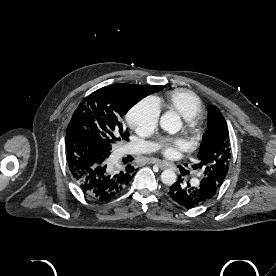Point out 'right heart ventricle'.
<instances>
[{
    "label": "right heart ventricle",
    "mask_w": 276,
    "mask_h": 276,
    "mask_svg": "<svg viewBox=\"0 0 276 276\" xmlns=\"http://www.w3.org/2000/svg\"><path fill=\"white\" fill-rule=\"evenodd\" d=\"M165 100L170 108L178 112L185 119L198 117L203 111L201 100L186 90H175L168 93Z\"/></svg>",
    "instance_id": "obj_1"
}]
</instances>
